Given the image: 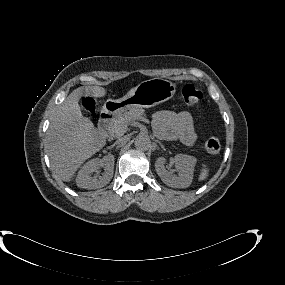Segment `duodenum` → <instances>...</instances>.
Wrapping results in <instances>:
<instances>
[{
	"mask_svg": "<svg viewBox=\"0 0 285 285\" xmlns=\"http://www.w3.org/2000/svg\"><path fill=\"white\" fill-rule=\"evenodd\" d=\"M114 114L112 111H105L101 114L99 119V130L105 137H108L110 126L113 121Z\"/></svg>",
	"mask_w": 285,
	"mask_h": 285,
	"instance_id": "410a0bca",
	"label": "duodenum"
}]
</instances>
